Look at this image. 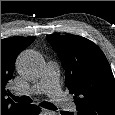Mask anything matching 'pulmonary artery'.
Returning <instances> with one entry per match:
<instances>
[{
	"instance_id": "1",
	"label": "pulmonary artery",
	"mask_w": 115,
	"mask_h": 115,
	"mask_svg": "<svg viewBox=\"0 0 115 115\" xmlns=\"http://www.w3.org/2000/svg\"><path fill=\"white\" fill-rule=\"evenodd\" d=\"M27 93H46L51 100L59 104L65 110H71L73 104L62 92L59 85V68L55 62H48L44 68L40 80L32 85Z\"/></svg>"
}]
</instances>
